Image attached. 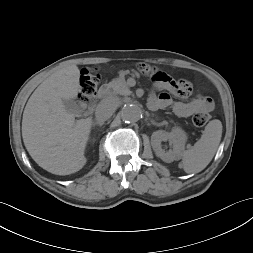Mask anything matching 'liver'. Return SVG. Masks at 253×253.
I'll list each match as a JSON object with an SVG mask.
<instances>
[{
    "label": "liver",
    "mask_w": 253,
    "mask_h": 253,
    "mask_svg": "<svg viewBox=\"0 0 253 253\" xmlns=\"http://www.w3.org/2000/svg\"><path fill=\"white\" fill-rule=\"evenodd\" d=\"M80 71L68 65L46 78L30 96L22 119V138L32 159L46 171L69 175L83 168L92 118L75 120L63 100L76 99Z\"/></svg>",
    "instance_id": "obj_1"
}]
</instances>
